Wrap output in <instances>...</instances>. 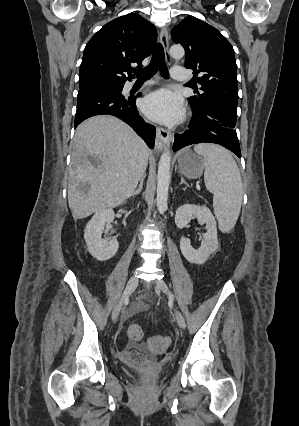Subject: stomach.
<instances>
[{
    "instance_id": "1",
    "label": "stomach",
    "mask_w": 299,
    "mask_h": 426,
    "mask_svg": "<svg viewBox=\"0 0 299 426\" xmlns=\"http://www.w3.org/2000/svg\"><path fill=\"white\" fill-rule=\"evenodd\" d=\"M180 172L189 179H195L202 175L205 170L203 156L187 148L180 152L178 156Z\"/></svg>"
}]
</instances>
